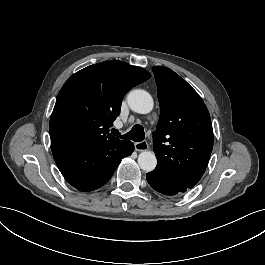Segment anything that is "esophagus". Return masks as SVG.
<instances>
[{
	"label": "esophagus",
	"instance_id": "obj_1",
	"mask_svg": "<svg viewBox=\"0 0 265 265\" xmlns=\"http://www.w3.org/2000/svg\"><path fill=\"white\" fill-rule=\"evenodd\" d=\"M136 151H145L149 148L146 141L137 142L134 144Z\"/></svg>",
	"mask_w": 265,
	"mask_h": 265
}]
</instances>
